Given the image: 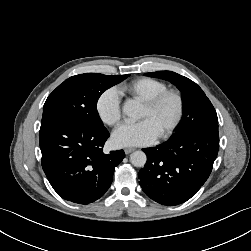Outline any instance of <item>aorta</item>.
I'll return each instance as SVG.
<instances>
[{
    "label": "aorta",
    "mask_w": 251,
    "mask_h": 251,
    "mask_svg": "<svg viewBox=\"0 0 251 251\" xmlns=\"http://www.w3.org/2000/svg\"><path fill=\"white\" fill-rule=\"evenodd\" d=\"M123 113L132 118H137L139 115V104L134 100L126 101L123 105ZM147 161L146 154L143 151H135L130 155V162L135 167H143Z\"/></svg>",
    "instance_id": "1"
}]
</instances>
